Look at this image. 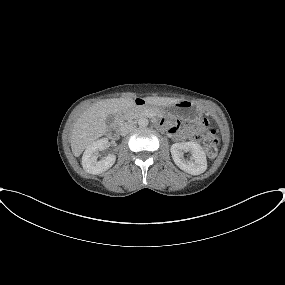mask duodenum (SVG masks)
I'll list each match as a JSON object with an SVG mask.
<instances>
[{"label":"duodenum","mask_w":285,"mask_h":285,"mask_svg":"<svg viewBox=\"0 0 285 285\" xmlns=\"http://www.w3.org/2000/svg\"><path fill=\"white\" fill-rule=\"evenodd\" d=\"M132 105L135 107V113L139 116H142L141 111L144 109L146 101L142 98H136L132 101ZM121 129L122 123L120 121H117L112 128V132L118 133Z\"/></svg>","instance_id":"duodenum-1"}]
</instances>
